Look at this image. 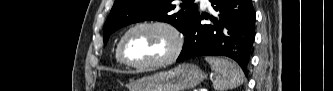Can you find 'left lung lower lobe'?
I'll return each instance as SVG.
<instances>
[{"instance_id":"1","label":"left lung lower lobe","mask_w":333,"mask_h":91,"mask_svg":"<svg viewBox=\"0 0 333 91\" xmlns=\"http://www.w3.org/2000/svg\"><path fill=\"white\" fill-rule=\"evenodd\" d=\"M218 13L212 25H202L197 12L185 35L177 62L202 56L222 55L234 59L247 75L250 50L255 38V11L251 0H209ZM207 18V17H205Z\"/></svg>"}]
</instances>
